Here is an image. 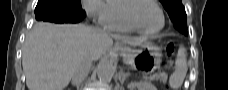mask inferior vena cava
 <instances>
[{"mask_svg": "<svg viewBox=\"0 0 228 90\" xmlns=\"http://www.w3.org/2000/svg\"><path fill=\"white\" fill-rule=\"evenodd\" d=\"M92 33L103 34L106 33L104 30L98 27H91ZM92 58L90 54H85L80 62L76 65L72 74V84L78 88L82 85L84 79L87 77L91 68Z\"/></svg>", "mask_w": 228, "mask_h": 90, "instance_id": "1", "label": "inferior vena cava"}]
</instances>
